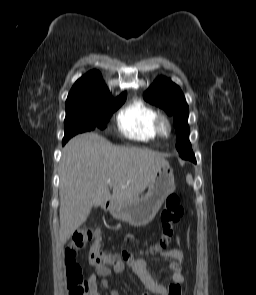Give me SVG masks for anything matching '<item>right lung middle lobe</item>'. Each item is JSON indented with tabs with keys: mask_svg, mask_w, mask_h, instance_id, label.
Wrapping results in <instances>:
<instances>
[{
	"mask_svg": "<svg viewBox=\"0 0 256 295\" xmlns=\"http://www.w3.org/2000/svg\"><path fill=\"white\" fill-rule=\"evenodd\" d=\"M125 99L126 94L119 96L116 100L113 98L88 100L66 106L63 141L66 142L78 133L95 128L104 129L111 114L122 105Z\"/></svg>",
	"mask_w": 256,
	"mask_h": 295,
	"instance_id": "right-lung-middle-lobe-1",
	"label": "right lung middle lobe"
}]
</instances>
